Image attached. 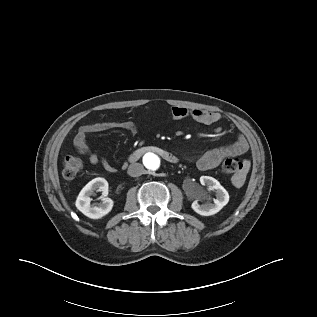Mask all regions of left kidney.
Returning a JSON list of instances; mask_svg holds the SVG:
<instances>
[{"label":"left kidney","mask_w":317,"mask_h":317,"mask_svg":"<svg viewBox=\"0 0 317 317\" xmlns=\"http://www.w3.org/2000/svg\"><path fill=\"white\" fill-rule=\"evenodd\" d=\"M200 183L203 186H207L209 190L215 191L216 199L213 200V203L207 201L200 205L198 203L199 200L208 199L205 194L200 195L197 200L193 201L192 209L202 216H211L218 213L229 202L228 192L215 178L210 176H201Z\"/></svg>","instance_id":"1"}]
</instances>
